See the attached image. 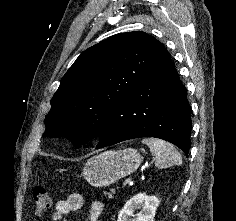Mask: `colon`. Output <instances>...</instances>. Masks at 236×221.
<instances>
[{"mask_svg":"<svg viewBox=\"0 0 236 221\" xmlns=\"http://www.w3.org/2000/svg\"><path fill=\"white\" fill-rule=\"evenodd\" d=\"M33 207L36 214H44L50 207V197L45 186H37L33 191Z\"/></svg>","mask_w":236,"mask_h":221,"instance_id":"obj_1","label":"colon"}]
</instances>
